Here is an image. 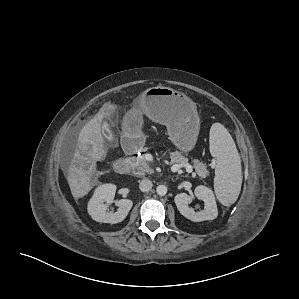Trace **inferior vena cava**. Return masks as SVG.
Here are the masks:
<instances>
[{
  "mask_svg": "<svg viewBox=\"0 0 299 299\" xmlns=\"http://www.w3.org/2000/svg\"><path fill=\"white\" fill-rule=\"evenodd\" d=\"M152 186L153 184L148 178L141 180L139 183V188L142 192H149Z\"/></svg>",
  "mask_w": 299,
  "mask_h": 299,
  "instance_id": "inferior-vena-cava-1",
  "label": "inferior vena cava"
}]
</instances>
